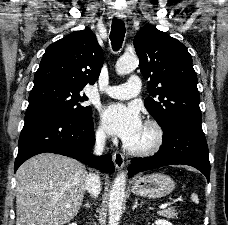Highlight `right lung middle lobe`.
<instances>
[{"instance_id":"obj_1","label":"right lung middle lobe","mask_w":228,"mask_h":225,"mask_svg":"<svg viewBox=\"0 0 228 225\" xmlns=\"http://www.w3.org/2000/svg\"><path fill=\"white\" fill-rule=\"evenodd\" d=\"M82 88L60 82H45L35 84L29 95V105L26 114L56 110L79 118L92 115L90 106L81 104L88 100L81 94Z\"/></svg>"}]
</instances>
